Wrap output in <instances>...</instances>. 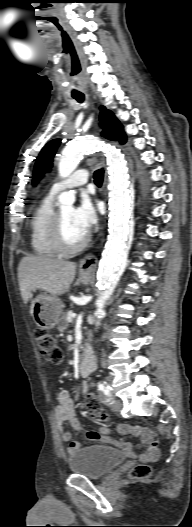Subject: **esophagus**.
<instances>
[{"instance_id": "obj_1", "label": "esophagus", "mask_w": 192, "mask_h": 527, "mask_svg": "<svg viewBox=\"0 0 192 527\" xmlns=\"http://www.w3.org/2000/svg\"><path fill=\"white\" fill-rule=\"evenodd\" d=\"M107 182V168L105 167V174H104V183L103 186H106ZM97 257L94 254H87L84 256L79 263V269L82 272H92L96 269L97 266Z\"/></svg>"}]
</instances>
